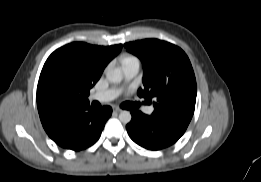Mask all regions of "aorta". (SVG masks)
<instances>
[{"mask_svg": "<svg viewBox=\"0 0 261 182\" xmlns=\"http://www.w3.org/2000/svg\"><path fill=\"white\" fill-rule=\"evenodd\" d=\"M106 78L110 83H120L123 79V73L118 68L110 69L106 73ZM131 118L132 116L129 111L124 110L119 114V120L124 124L129 123Z\"/></svg>", "mask_w": 261, "mask_h": 182, "instance_id": "1", "label": "aorta"}]
</instances>
